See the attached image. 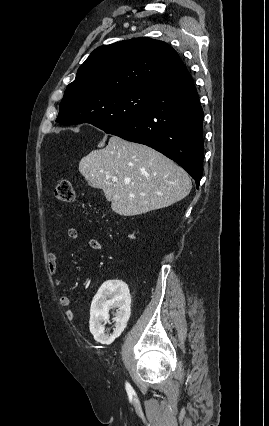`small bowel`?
Masks as SVG:
<instances>
[{"mask_svg": "<svg viewBox=\"0 0 269 426\" xmlns=\"http://www.w3.org/2000/svg\"><path fill=\"white\" fill-rule=\"evenodd\" d=\"M67 235L69 239L76 240L78 238V231L75 228H69L67 231ZM88 245L93 250H100L102 248V244L98 239L91 238L88 240ZM48 269L52 276L53 282L56 287H63V279L61 274L58 272L57 269V256L55 253H50L48 255ZM59 303L62 307L68 308L71 305V299L68 295H61L59 297ZM67 316H70V312L66 313Z\"/></svg>", "mask_w": 269, "mask_h": 426, "instance_id": "c3829d8e", "label": "small bowel"}]
</instances>
